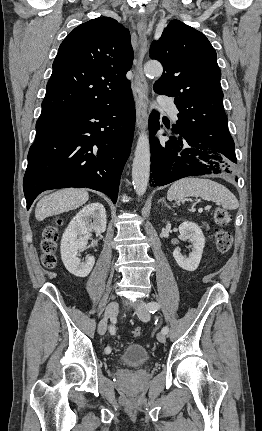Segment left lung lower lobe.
Here are the masks:
<instances>
[{
	"label": "left lung lower lobe",
	"mask_w": 262,
	"mask_h": 431,
	"mask_svg": "<svg viewBox=\"0 0 262 431\" xmlns=\"http://www.w3.org/2000/svg\"><path fill=\"white\" fill-rule=\"evenodd\" d=\"M159 128L158 113L153 112L149 117L152 186L189 176L233 172L237 160L230 134L220 142H205L176 132L166 143H160L153 136Z\"/></svg>",
	"instance_id": "1"
}]
</instances>
